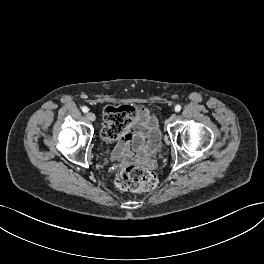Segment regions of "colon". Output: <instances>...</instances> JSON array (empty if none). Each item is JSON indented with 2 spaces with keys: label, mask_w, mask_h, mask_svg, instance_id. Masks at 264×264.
Listing matches in <instances>:
<instances>
[{
  "label": "colon",
  "mask_w": 264,
  "mask_h": 264,
  "mask_svg": "<svg viewBox=\"0 0 264 264\" xmlns=\"http://www.w3.org/2000/svg\"><path fill=\"white\" fill-rule=\"evenodd\" d=\"M135 108L129 105L109 106L104 113L106 124L102 136L108 141L116 140L130 129ZM115 183L126 192H144L154 189L158 179L154 172L137 164L122 166L116 173Z\"/></svg>",
  "instance_id": "obj_1"
}]
</instances>
